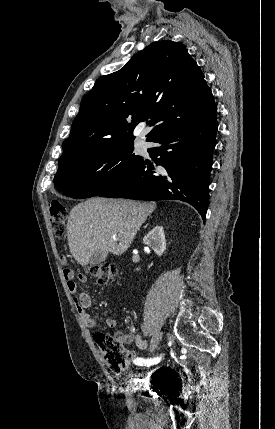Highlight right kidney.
I'll list each match as a JSON object with an SVG mask.
<instances>
[{
    "instance_id": "right-kidney-1",
    "label": "right kidney",
    "mask_w": 275,
    "mask_h": 429,
    "mask_svg": "<svg viewBox=\"0 0 275 429\" xmlns=\"http://www.w3.org/2000/svg\"><path fill=\"white\" fill-rule=\"evenodd\" d=\"M143 243L150 246L158 256H161L166 250V239L163 227H154L144 236Z\"/></svg>"
}]
</instances>
